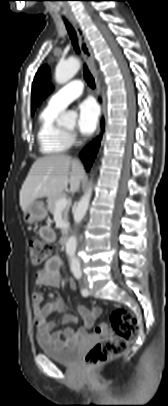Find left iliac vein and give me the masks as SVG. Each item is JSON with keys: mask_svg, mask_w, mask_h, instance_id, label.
<instances>
[{"mask_svg": "<svg viewBox=\"0 0 168 406\" xmlns=\"http://www.w3.org/2000/svg\"><path fill=\"white\" fill-rule=\"evenodd\" d=\"M85 285H86V287H87V282L85 281Z\"/></svg>", "mask_w": 168, "mask_h": 406, "instance_id": "obj_1", "label": "left iliac vein"}]
</instances>
